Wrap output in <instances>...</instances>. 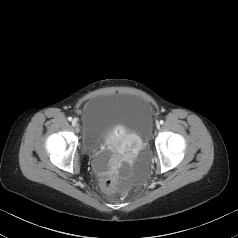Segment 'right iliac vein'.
I'll list each match as a JSON object with an SVG mask.
<instances>
[{
    "label": "right iliac vein",
    "mask_w": 238,
    "mask_h": 238,
    "mask_svg": "<svg viewBox=\"0 0 238 238\" xmlns=\"http://www.w3.org/2000/svg\"><path fill=\"white\" fill-rule=\"evenodd\" d=\"M72 125H73L74 127H76V126L78 125L77 119H73V120H72Z\"/></svg>",
    "instance_id": "right-iliac-vein-1"
}]
</instances>
